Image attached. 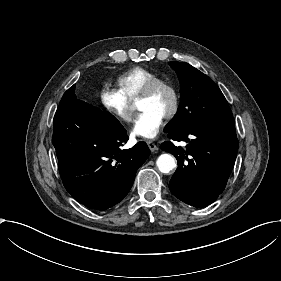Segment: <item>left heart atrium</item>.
<instances>
[{
    "label": "left heart atrium",
    "instance_id": "left-heart-atrium-1",
    "mask_svg": "<svg viewBox=\"0 0 281 281\" xmlns=\"http://www.w3.org/2000/svg\"><path fill=\"white\" fill-rule=\"evenodd\" d=\"M163 118L151 111L144 110L138 115L135 125L133 127V134L135 136L146 139L155 138L163 124Z\"/></svg>",
    "mask_w": 281,
    "mask_h": 281
}]
</instances>
